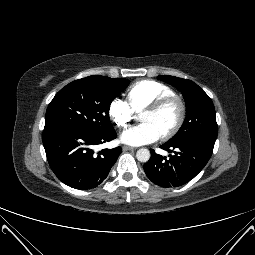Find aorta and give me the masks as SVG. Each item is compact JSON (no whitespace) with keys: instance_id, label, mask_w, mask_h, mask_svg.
<instances>
[{"instance_id":"obj_1","label":"aorta","mask_w":255,"mask_h":255,"mask_svg":"<svg viewBox=\"0 0 255 255\" xmlns=\"http://www.w3.org/2000/svg\"><path fill=\"white\" fill-rule=\"evenodd\" d=\"M150 156H151L150 151L146 148H141L136 152L137 160L143 163L148 162Z\"/></svg>"}]
</instances>
